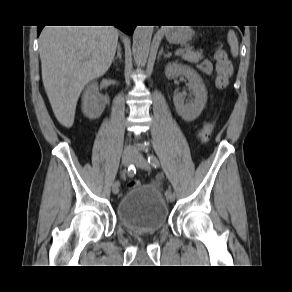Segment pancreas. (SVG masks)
<instances>
[{
  "label": "pancreas",
  "mask_w": 292,
  "mask_h": 292,
  "mask_svg": "<svg viewBox=\"0 0 292 292\" xmlns=\"http://www.w3.org/2000/svg\"><path fill=\"white\" fill-rule=\"evenodd\" d=\"M179 55L189 61V62H193V63H198L200 60L203 59V54L201 51H194L192 50V48H185V49H180V53Z\"/></svg>",
  "instance_id": "pancreas-1"
}]
</instances>
